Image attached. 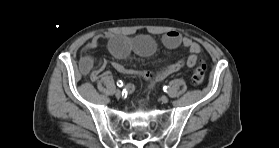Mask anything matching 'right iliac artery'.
I'll list each match as a JSON object with an SVG mask.
<instances>
[{"mask_svg":"<svg viewBox=\"0 0 279 148\" xmlns=\"http://www.w3.org/2000/svg\"><path fill=\"white\" fill-rule=\"evenodd\" d=\"M124 85V83L121 81V80H118L117 81V86L118 87H122Z\"/></svg>","mask_w":279,"mask_h":148,"instance_id":"1","label":"right iliac artery"}]
</instances>
